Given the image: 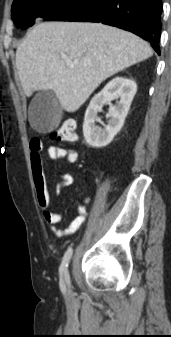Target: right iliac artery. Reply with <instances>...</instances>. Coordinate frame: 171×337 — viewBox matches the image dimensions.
Here are the masks:
<instances>
[{
	"mask_svg": "<svg viewBox=\"0 0 171 337\" xmlns=\"http://www.w3.org/2000/svg\"><path fill=\"white\" fill-rule=\"evenodd\" d=\"M73 250L71 247L65 252L61 266H60V274H61V282H63L62 274L65 275L67 283H70L69 273H68V264L71 259Z\"/></svg>",
	"mask_w": 171,
	"mask_h": 337,
	"instance_id": "1",
	"label": "right iliac artery"
}]
</instances>
